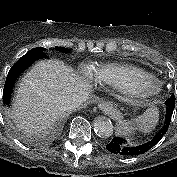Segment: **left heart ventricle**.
<instances>
[{"instance_id":"obj_1","label":"left heart ventricle","mask_w":177,"mask_h":177,"mask_svg":"<svg viewBox=\"0 0 177 177\" xmlns=\"http://www.w3.org/2000/svg\"><path fill=\"white\" fill-rule=\"evenodd\" d=\"M134 84L135 85H147L145 82H143V80H140V79H136L134 81ZM148 87H152V84H148Z\"/></svg>"}]
</instances>
